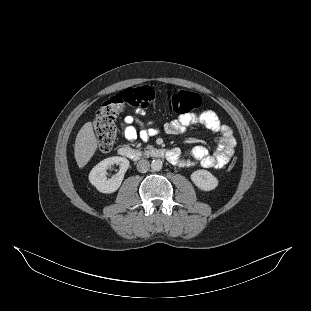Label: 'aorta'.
I'll return each instance as SVG.
<instances>
[{
    "label": "aorta",
    "mask_w": 311,
    "mask_h": 311,
    "mask_svg": "<svg viewBox=\"0 0 311 311\" xmlns=\"http://www.w3.org/2000/svg\"><path fill=\"white\" fill-rule=\"evenodd\" d=\"M163 167V163L160 159H154L152 162H151V169L153 171H160Z\"/></svg>",
    "instance_id": "1"
}]
</instances>
